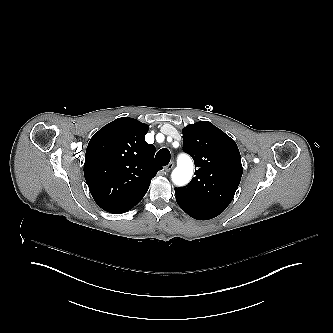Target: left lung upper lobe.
I'll use <instances>...</instances> for the list:
<instances>
[{"label": "left lung upper lobe", "mask_w": 333, "mask_h": 333, "mask_svg": "<svg viewBox=\"0 0 333 333\" xmlns=\"http://www.w3.org/2000/svg\"><path fill=\"white\" fill-rule=\"evenodd\" d=\"M183 150L192 156L195 177L175 188L176 200L222 213L234 198L243 167L235 141L208 121L183 129Z\"/></svg>", "instance_id": "5c2ea615"}]
</instances>
